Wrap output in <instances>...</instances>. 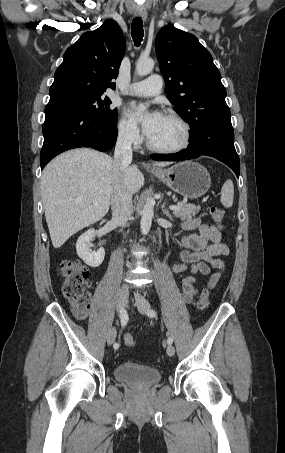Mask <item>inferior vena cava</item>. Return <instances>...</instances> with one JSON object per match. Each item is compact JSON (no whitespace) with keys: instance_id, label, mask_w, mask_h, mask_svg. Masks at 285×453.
<instances>
[{"instance_id":"1","label":"inferior vena cava","mask_w":285,"mask_h":453,"mask_svg":"<svg viewBox=\"0 0 285 453\" xmlns=\"http://www.w3.org/2000/svg\"><path fill=\"white\" fill-rule=\"evenodd\" d=\"M133 134L119 135L114 152V162L126 168L132 161ZM112 222L124 226L133 213L132 195L122 184H117L111 195Z\"/></svg>"}]
</instances>
